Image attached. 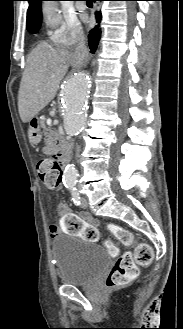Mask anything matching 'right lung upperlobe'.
Listing matches in <instances>:
<instances>
[{
  "instance_id": "right-lung-upper-lobe-1",
  "label": "right lung upper lobe",
  "mask_w": 183,
  "mask_h": 329,
  "mask_svg": "<svg viewBox=\"0 0 183 329\" xmlns=\"http://www.w3.org/2000/svg\"><path fill=\"white\" fill-rule=\"evenodd\" d=\"M29 2V8L27 11V29L30 32L38 24H41L42 12L41 1L44 0H27Z\"/></svg>"
}]
</instances>
